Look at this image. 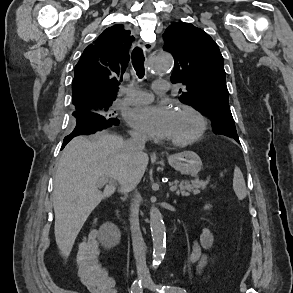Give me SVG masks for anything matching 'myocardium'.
<instances>
[{
  "label": "myocardium",
  "instance_id": "myocardium-1",
  "mask_svg": "<svg viewBox=\"0 0 293 293\" xmlns=\"http://www.w3.org/2000/svg\"><path fill=\"white\" fill-rule=\"evenodd\" d=\"M177 112L187 113V114L191 115L192 117H194L195 120L197 121V129L192 136H190L186 139L169 140L168 143L172 146L185 147V146H189V145L197 142L198 140H200L203 137V135L207 129V121H206L205 117L199 111H197L196 109H194L190 106H187V105L179 106L177 109Z\"/></svg>",
  "mask_w": 293,
  "mask_h": 293
}]
</instances>
